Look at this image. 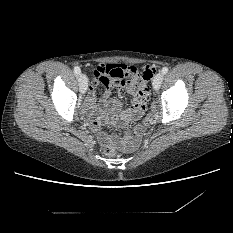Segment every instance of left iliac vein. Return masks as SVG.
I'll list each match as a JSON object with an SVG mask.
<instances>
[{"label": "left iliac vein", "mask_w": 233, "mask_h": 233, "mask_svg": "<svg viewBox=\"0 0 233 233\" xmlns=\"http://www.w3.org/2000/svg\"><path fill=\"white\" fill-rule=\"evenodd\" d=\"M163 78H164L163 73L159 72L156 74V76L153 79V88L155 90H158L160 88Z\"/></svg>", "instance_id": "1"}]
</instances>
